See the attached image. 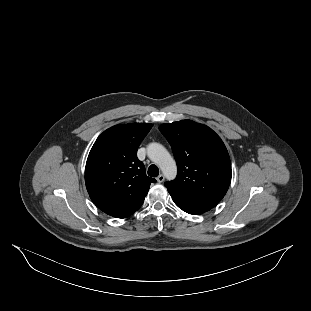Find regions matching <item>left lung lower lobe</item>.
Listing matches in <instances>:
<instances>
[{
	"label": "left lung lower lobe",
	"mask_w": 311,
	"mask_h": 311,
	"mask_svg": "<svg viewBox=\"0 0 311 311\" xmlns=\"http://www.w3.org/2000/svg\"><path fill=\"white\" fill-rule=\"evenodd\" d=\"M172 196L173 201L175 204L182 209L183 211L189 213V214H202L211 208L213 206L210 205H205V204H200V203H195L189 200H186L178 195L170 193Z\"/></svg>",
	"instance_id": "0a47b994"
}]
</instances>
